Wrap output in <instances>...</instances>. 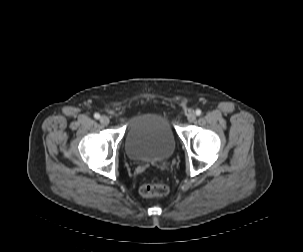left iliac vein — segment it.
<instances>
[{
	"label": "left iliac vein",
	"instance_id": "obj_1",
	"mask_svg": "<svg viewBox=\"0 0 303 252\" xmlns=\"http://www.w3.org/2000/svg\"><path fill=\"white\" fill-rule=\"evenodd\" d=\"M187 119H188V121L191 122V123L194 122V121L196 120V114L193 113V112L189 113V114L187 115Z\"/></svg>",
	"mask_w": 303,
	"mask_h": 252
}]
</instances>
